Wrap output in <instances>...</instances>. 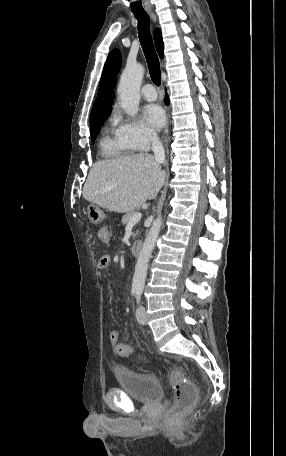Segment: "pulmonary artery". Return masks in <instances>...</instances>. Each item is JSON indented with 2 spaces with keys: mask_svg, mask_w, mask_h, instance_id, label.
<instances>
[{
  "mask_svg": "<svg viewBox=\"0 0 286 456\" xmlns=\"http://www.w3.org/2000/svg\"><path fill=\"white\" fill-rule=\"evenodd\" d=\"M141 95L146 101H155L157 92L152 84H146L141 89Z\"/></svg>",
  "mask_w": 286,
  "mask_h": 456,
  "instance_id": "e3ab8cb5",
  "label": "pulmonary artery"
}]
</instances>
